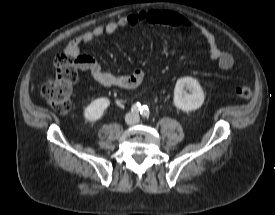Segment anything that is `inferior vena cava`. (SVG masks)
<instances>
[{
    "instance_id": "obj_1",
    "label": "inferior vena cava",
    "mask_w": 275,
    "mask_h": 215,
    "mask_svg": "<svg viewBox=\"0 0 275 215\" xmlns=\"http://www.w3.org/2000/svg\"><path fill=\"white\" fill-rule=\"evenodd\" d=\"M125 121L127 124H135L139 121V116L135 113H127L125 116Z\"/></svg>"
}]
</instances>
